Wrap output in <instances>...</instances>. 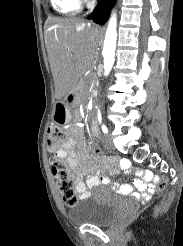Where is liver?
<instances>
[{
  "label": "liver",
  "instance_id": "6515ba94",
  "mask_svg": "<svg viewBox=\"0 0 183 246\" xmlns=\"http://www.w3.org/2000/svg\"><path fill=\"white\" fill-rule=\"evenodd\" d=\"M99 41V30L85 22L64 18L48 20L46 48L57 99L65 96L92 65Z\"/></svg>",
  "mask_w": 183,
  "mask_h": 246
}]
</instances>
